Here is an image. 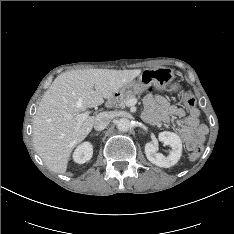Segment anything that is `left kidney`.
Returning a JSON list of instances; mask_svg holds the SVG:
<instances>
[{
	"mask_svg": "<svg viewBox=\"0 0 234 234\" xmlns=\"http://www.w3.org/2000/svg\"><path fill=\"white\" fill-rule=\"evenodd\" d=\"M158 139L171 147L170 154L164 156L162 153L156 152V145L153 142H148L145 145L147 159L159 167L169 168L174 166L182 155V141L180 137L173 132L164 131L159 133Z\"/></svg>",
	"mask_w": 234,
	"mask_h": 234,
	"instance_id": "obj_1",
	"label": "left kidney"
}]
</instances>
